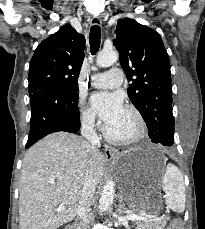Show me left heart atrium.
<instances>
[{"label": "left heart atrium", "mask_w": 205, "mask_h": 229, "mask_svg": "<svg viewBox=\"0 0 205 229\" xmlns=\"http://www.w3.org/2000/svg\"><path fill=\"white\" fill-rule=\"evenodd\" d=\"M92 108L107 125L113 123L123 112V98L115 92H97L90 98Z\"/></svg>", "instance_id": "obj_1"}]
</instances>
